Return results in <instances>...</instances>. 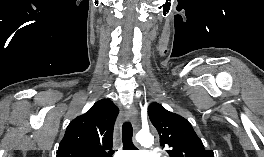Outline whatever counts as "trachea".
Returning <instances> with one entry per match:
<instances>
[{"instance_id":"1","label":"trachea","mask_w":264,"mask_h":157,"mask_svg":"<svg viewBox=\"0 0 264 157\" xmlns=\"http://www.w3.org/2000/svg\"><path fill=\"white\" fill-rule=\"evenodd\" d=\"M133 128L130 122H126L122 126V141L124 150H136L132 142Z\"/></svg>"}]
</instances>
